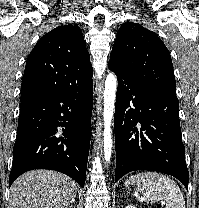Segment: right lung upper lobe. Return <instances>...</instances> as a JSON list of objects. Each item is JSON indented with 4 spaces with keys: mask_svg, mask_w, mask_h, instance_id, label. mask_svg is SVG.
I'll list each match as a JSON object with an SVG mask.
<instances>
[{
    "mask_svg": "<svg viewBox=\"0 0 199 208\" xmlns=\"http://www.w3.org/2000/svg\"><path fill=\"white\" fill-rule=\"evenodd\" d=\"M92 74L80 28L59 26L45 34L28 56L21 102L81 86L92 79Z\"/></svg>",
    "mask_w": 199,
    "mask_h": 208,
    "instance_id": "cb5924a9",
    "label": "right lung upper lobe"
}]
</instances>
